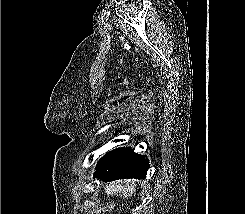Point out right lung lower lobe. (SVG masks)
<instances>
[{"label":"right lung lower lobe","mask_w":245,"mask_h":214,"mask_svg":"<svg viewBox=\"0 0 245 214\" xmlns=\"http://www.w3.org/2000/svg\"><path fill=\"white\" fill-rule=\"evenodd\" d=\"M118 150L120 153L118 167L111 172L95 175L94 178L108 182L124 178L141 179L146 176L150 164L144 155L136 154L130 148H119Z\"/></svg>","instance_id":"1"}]
</instances>
